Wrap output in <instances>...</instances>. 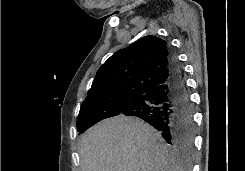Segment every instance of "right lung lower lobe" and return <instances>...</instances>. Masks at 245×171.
<instances>
[{"label": "right lung lower lobe", "instance_id": "98d812e1", "mask_svg": "<svg viewBox=\"0 0 245 171\" xmlns=\"http://www.w3.org/2000/svg\"><path fill=\"white\" fill-rule=\"evenodd\" d=\"M168 69L169 78L165 83L127 103L121 114L146 121L177 149V154L190 157L194 139L193 109L182 68L170 48Z\"/></svg>", "mask_w": 245, "mask_h": 171}]
</instances>
